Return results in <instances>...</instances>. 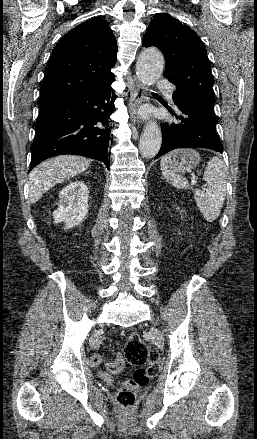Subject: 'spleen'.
<instances>
[{"label":"spleen","mask_w":257,"mask_h":439,"mask_svg":"<svg viewBox=\"0 0 257 439\" xmlns=\"http://www.w3.org/2000/svg\"><path fill=\"white\" fill-rule=\"evenodd\" d=\"M170 154L161 159V171L168 183L178 189L190 188L188 181L175 174L169 165ZM203 180L207 183L206 191L194 190L196 205L208 222L215 221L220 215L226 197V168L218 157H212L205 168Z\"/></svg>","instance_id":"3e777b00"}]
</instances>
